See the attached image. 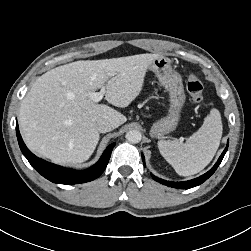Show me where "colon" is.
Listing matches in <instances>:
<instances>
[{"instance_id":"colon-1","label":"colon","mask_w":251,"mask_h":251,"mask_svg":"<svg viewBox=\"0 0 251 251\" xmlns=\"http://www.w3.org/2000/svg\"><path fill=\"white\" fill-rule=\"evenodd\" d=\"M186 88L191 99L200 104L203 102V85L195 74H189L186 80Z\"/></svg>"}]
</instances>
